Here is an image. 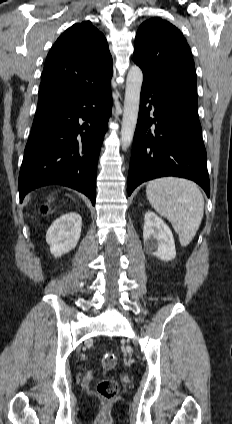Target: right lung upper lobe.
I'll use <instances>...</instances> for the list:
<instances>
[{
  "mask_svg": "<svg viewBox=\"0 0 232 424\" xmlns=\"http://www.w3.org/2000/svg\"><path fill=\"white\" fill-rule=\"evenodd\" d=\"M112 57L104 35L90 21L67 29L49 51L38 104L86 96L110 85Z\"/></svg>",
  "mask_w": 232,
  "mask_h": 424,
  "instance_id": "right-lung-upper-lobe-1",
  "label": "right lung upper lobe"
}]
</instances>
